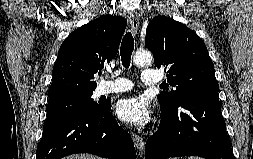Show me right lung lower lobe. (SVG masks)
Segmentation results:
<instances>
[{
    "instance_id": "98d812e1",
    "label": "right lung lower lobe",
    "mask_w": 253,
    "mask_h": 159,
    "mask_svg": "<svg viewBox=\"0 0 253 159\" xmlns=\"http://www.w3.org/2000/svg\"><path fill=\"white\" fill-rule=\"evenodd\" d=\"M105 102L96 112H81L43 131L36 159H60L91 153L110 159H136L130 135L121 128Z\"/></svg>"
}]
</instances>
